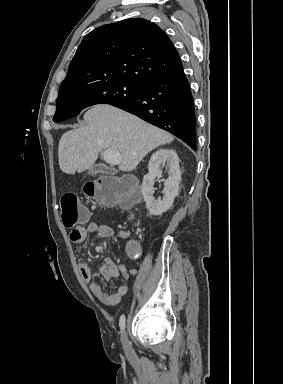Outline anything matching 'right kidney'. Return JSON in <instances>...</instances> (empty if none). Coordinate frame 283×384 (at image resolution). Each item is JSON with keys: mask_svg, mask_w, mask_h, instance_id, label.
<instances>
[{"mask_svg": "<svg viewBox=\"0 0 283 384\" xmlns=\"http://www.w3.org/2000/svg\"><path fill=\"white\" fill-rule=\"evenodd\" d=\"M166 164L169 170V178L165 180V188L163 190L162 200H155L153 184L157 176H161V166ZM149 174L144 176L142 182V194L146 208H148L151 216H162L163 212H167L171 208L174 198L179 194V184L181 180V170L179 166V158L174 150H166L161 148L151 156L148 164Z\"/></svg>", "mask_w": 283, "mask_h": 384, "instance_id": "right-kidney-1", "label": "right kidney"}]
</instances>
